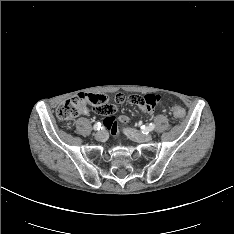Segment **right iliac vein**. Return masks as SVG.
I'll return each mask as SVG.
<instances>
[{"label": "right iliac vein", "mask_w": 234, "mask_h": 234, "mask_svg": "<svg viewBox=\"0 0 234 234\" xmlns=\"http://www.w3.org/2000/svg\"><path fill=\"white\" fill-rule=\"evenodd\" d=\"M107 137V132L105 130L103 131H98L96 134H95V139L98 140V141H104Z\"/></svg>", "instance_id": "63e3f726"}]
</instances>
